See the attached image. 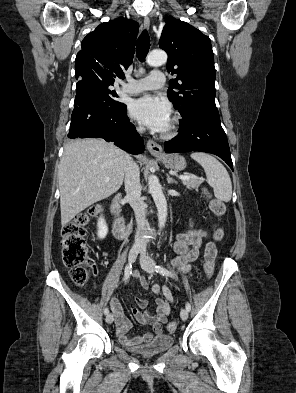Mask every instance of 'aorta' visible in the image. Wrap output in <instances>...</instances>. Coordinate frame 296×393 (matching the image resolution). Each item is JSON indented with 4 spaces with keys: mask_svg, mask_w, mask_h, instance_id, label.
<instances>
[{
    "mask_svg": "<svg viewBox=\"0 0 296 393\" xmlns=\"http://www.w3.org/2000/svg\"><path fill=\"white\" fill-rule=\"evenodd\" d=\"M167 54L162 50H153L147 56V63L150 66L158 67L165 64ZM149 192L151 193L158 211V226L163 228L167 218V202L162 191V186L156 176L150 175L148 178Z\"/></svg>",
    "mask_w": 296,
    "mask_h": 393,
    "instance_id": "1",
    "label": "aorta"
}]
</instances>
